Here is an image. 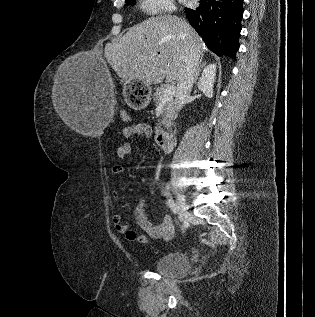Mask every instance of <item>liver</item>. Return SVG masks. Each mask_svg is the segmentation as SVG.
Returning <instances> with one entry per match:
<instances>
[{
    "label": "liver",
    "mask_w": 315,
    "mask_h": 317,
    "mask_svg": "<svg viewBox=\"0 0 315 317\" xmlns=\"http://www.w3.org/2000/svg\"><path fill=\"white\" fill-rule=\"evenodd\" d=\"M189 48L199 57L206 49L188 22L174 15H161L132 27L117 44L106 46L105 57L125 82L159 84L164 79L178 81ZM68 124L73 130H81L77 122Z\"/></svg>",
    "instance_id": "obj_1"
}]
</instances>
